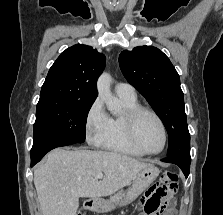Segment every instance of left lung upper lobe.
<instances>
[{"label":"left lung upper lobe","instance_id":"obj_1","mask_svg":"<svg viewBox=\"0 0 223 215\" xmlns=\"http://www.w3.org/2000/svg\"><path fill=\"white\" fill-rule=\"evenodd\" d=\"M127 81L149 102L169 136L167 157L190 158V134L180 79L168 57L153 46H138L119 55Z\"/></svg>","mask_w":223,"mask_h":215}]
</instances>
